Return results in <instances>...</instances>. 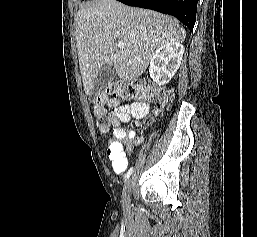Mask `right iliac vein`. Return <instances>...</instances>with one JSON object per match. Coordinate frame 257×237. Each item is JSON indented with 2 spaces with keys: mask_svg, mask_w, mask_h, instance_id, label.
Returning <instances> with one entry per match:
<instances>
[{
  "mask_svg": "<svg viewBox=\"0 0 257 237\" xmlns=\"http://www.w3.org/2000/svg\"><path fill=\"white\" fill-rule=\"evenodd\" d=\"M131 183H132L131 179H128L123 190V200L126 205L130 201Z\"/></svg>",
  "mask_w": 257,
  "mask_h": 237,
  "instance_id": "obj_1",
  "label": "right iliac vein"
}]
</instances>
